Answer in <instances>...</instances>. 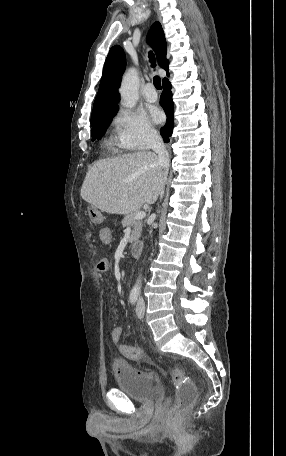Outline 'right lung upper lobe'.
<instances>
[{
    "instance_id": "obj_1",
    "label": "right lung upper lobe",
    "mask_w": 286,
    "mask_h": 456,
    "mask_svg": "<svg viewBox=\"0 0 286 456\" xmlns=\"http://www.w3.org/2000/svg\"><path fill=\"white\" fill-rule=\"evenodd\" d=\"M147 38L148 43L153 47L157 55L159 66L164 68L167 75H169V63L166 60V40L159 22H155L151 26ZM125 67L126 59L123 49L118 45L113 46L104 64L99 90L93 105L91 122L109 111L118 109V86ZM166 79L164 78L163 81Z\"/></svg>"
}]
</instances>
